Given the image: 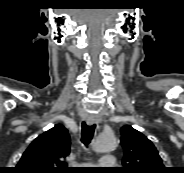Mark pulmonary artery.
<instances>
[{"label":"pulmonary artery","mask_w":184,"mask_h":173,"mask_svg":"<svg viewBox=\"0 0 184 173\" xmlns=\"http://www.w3.org/2000/svg\"><path fill=\"white\" fill-rule=\"evenodd\" d=\"M116 164V160L112 155H105L101 158L99 165L103 166V168H110Z\"/></svg>","instance_id":"obj_1"}]
</instances>
